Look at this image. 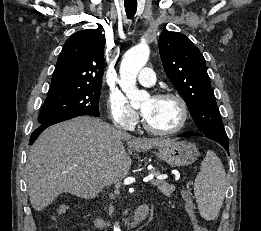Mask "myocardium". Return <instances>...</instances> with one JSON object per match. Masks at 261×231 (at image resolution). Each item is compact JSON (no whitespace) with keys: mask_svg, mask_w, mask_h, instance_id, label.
Here are the masks:
<instances>
[{"mask_svg":"<svg viewBox=\"0 0 261 231\" xmlns=\"http://www.w3.org/2000/svg\"><path fill=\"white\" fill-rule=\"evenodd\" d=\"M153 98H155V99H162V98H172V99H174L178 103L179 108H180V112H181L180 122L173 129L158 130V129L154 128L153 126H151L149 124V122L147 121V119L145 118L144 114L141 113L142 123H143L144 129L146 131H148L149 133L154 134V135H158V136H171V135L177 134L180 131H182L184 129V127L186 126L187 121L189 119V109H188V105H187L185 99L181 95H179L178 93L170 92V91L158 92L153 96Z\"/></svg>","mask_w":261,"mask_h":231,"instance_id":"1","label":"myocardium"}]
</instances>
